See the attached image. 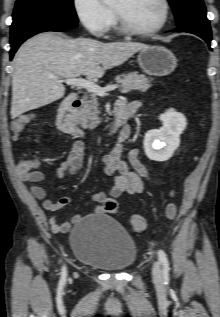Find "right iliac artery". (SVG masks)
<instances>
[{
	"instance_id": "right-iliac-artery-1",
	"label": "right iliac artery",
	"mask_w": 220,
	"mask_h": 317,
	"mask_svg": "<svg viewBox=\"0 0 220 317\" xmlns=\"http://www.w3.org/2000/svg\"><path fill=\"white\" fill-rule=\"evenodd\" d=\"M65 277H66V269H65V267H63V269H62V277H61L62 282L65 281Z\"/></svg>"
}]
</instances>
